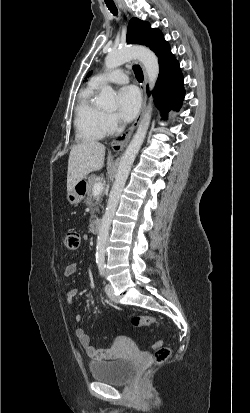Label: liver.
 I'll return each mask as SVG.
<instances>
[{"mask_svg":"<svg viewBox=\"0 0 250 413\" xmlns=\"http://www.w3.org/2000/svg\"><path fill=\"white\" fill-rule=\"evenodd\" d=\"M105 146L98 141H85L71 148L68 159L67 192L90 172L104 165Z\"/></svg>","mask_w":250,"mask_h":413,"instance_id":"1","label":"liver"}]
</instances>
